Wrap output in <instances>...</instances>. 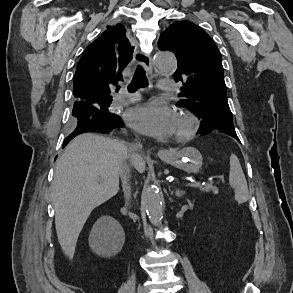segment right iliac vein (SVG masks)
Instances as JSON below:
<instances>
[{"instance_id":"1","label":"right iliac vein","mask_w":293,"mask_h":293,"mask_svg":"<svg viewBox=\"0 0 293 293\" xmlns=\"http://www.w3.org/2000/svg\"><path fill=\"white\" fill-rule=\"evenodd\" d=\"M138 293H146L144 287L141 284L138 287Z\"/></svg>"}]
</instances>
